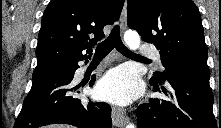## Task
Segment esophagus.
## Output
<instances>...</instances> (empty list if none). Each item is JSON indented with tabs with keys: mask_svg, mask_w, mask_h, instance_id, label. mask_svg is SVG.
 Masks as SVG:
<instances>
[{
	"mask_svg": "<svg viewBox=\"0 0 221 128\" xmlns=\"http://www.w3.org/2000/svg\"><path fill=\"white\" fill-rule=\"evenodd\" d=\"M127 21V2H124V7L120 17L121 30L124 32L126 30ZM129 118L126 116V112L123 108L118 106L112 107V121L115 126H122Z\"/></svg>",
	"mask_w": 221,
	"mask_h": 128,
	"instance_id": "34e87169",
	"label": "esophagus"
}]
</instances>
